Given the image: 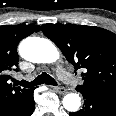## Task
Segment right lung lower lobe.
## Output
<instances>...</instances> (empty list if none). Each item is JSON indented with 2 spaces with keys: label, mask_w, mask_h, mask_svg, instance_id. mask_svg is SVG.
<instances>
[{
  "label": "right lung lower lobe",
  "mask_w": 116,
  "mask_h": 116,
  "mask_svg": "<svg viewBox=\"0 0 116 116\" xmlns=\"http://www.w3.org/2000/svg\"><path fill=\"white\" fill-rule=\"evenodd\" d=\"M35 109V102L33 100V93L28 100L23 103L11 116H31Z\"/></svg>",
  "instance_id": "right-lung-lower-lobe-1"
}]
</instances>
